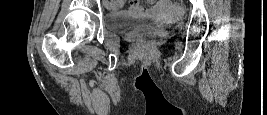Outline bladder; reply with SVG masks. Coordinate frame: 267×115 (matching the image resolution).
<instances>
[{
  "instance_id": "obj_1",
  "label": "bladder",
  "mask_w": 267,
  "mask_h": 115,
  "mask_svg": "<svg viewBox=\"0 0 267 115\" xmlns=\"http://www.w3.org/2000/svg\"><path fill=\"white\" fill-rule=\"evenodd\" d=\"M153 19L151 15H136L129 13H107L105 26L112 32L122 33L136 31Z\"/></svg>"
}]
</instances>
